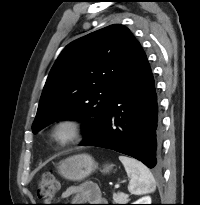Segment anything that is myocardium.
Instances as JSON below:
<instances>
[{"label": "myocardium", "mask_w": 200, "mask_h": 205, "mask_svg": "<svg viewBox=\"0 0 200 205\" xmlns=\"http://www.w3.org/2000/svg\"><path fill=\"white\" fill-rule=\"evenodd\" d=\"M82 122L74 116H65L56 120L50 130V137L60 146L70 145L81 138Z\"/></svg>", "instance_id": "obj_1"}]
</instances>
